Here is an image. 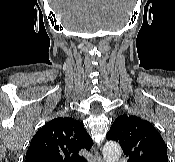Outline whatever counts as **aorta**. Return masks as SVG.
Instances as JSON below:
<instances>
[{
    "label": "aorta",
    "mask_w": 175,
    "mask_h": 162,
    "mask_svg": "<svg viewBox=\"0 0 175 162\" xmlns=\"http://www.w3.org/2000/svg\"><path fill=\"white\" fill-rule=\"evenodd\" d=\"M121 147L117 142H106L103 147V157L106 162H118L121 157Z\"/></svg>",
    "instance_id": "762f6f07"
}]
</instances>
